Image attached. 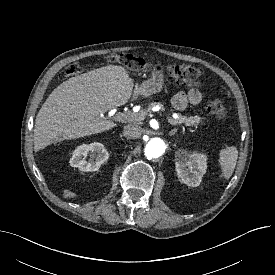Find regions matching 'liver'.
Returning a JSON list of instances; mask_svg holds the SVG:
<instances>
[{
    "instance_id": "liver-1",
    "label": "liver",
    "mask_w": 275,
    "mask_h": 275,
    "mask_svg": "<svg viewBox=\"0 0 275 275\" xmlns=\"http://www.w3.org/2000/svg\"><path fill=\"white\" fill-rule=\"evenodd\" d=\"M134 83L122 66L101 67L61 83L39 110L34 127V150L80 137L98 134L116 124L103 116L124 105L132 95ZM134 98L141 96L135 85Z\"/></svg>"
}]
</instances>
